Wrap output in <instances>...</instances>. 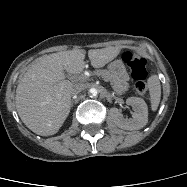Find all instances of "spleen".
<instances>
[{
	"label": "spleen",
	"instance_id": "1",
	"mask_svg": "<svg viewBox=\"0 0 187 187\" xmlns=\"http://www.w3.org/2000/svg\"><path fill=\"white\" fill-rule=\"evenodd\" d=\"M150 101L152 111L157 110L161 99V85L157 75H152L148 79Z\"/></svg>",
	"mask_w": 187,
	"mask_h": 187
}]
</instances>
